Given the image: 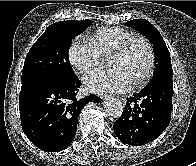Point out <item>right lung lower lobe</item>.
<instances>
[{"label": "right lung lower lobe", "instance_id": "1", "mask_svg": "<svg viewBox=\"0 0 196 166\" xmlns=\"http://www.w3.org/2000/svg\"><path fill=\"white\" fill-rule=\"evenodd\" d=\"M80 86L78 78L70 82L46 77L22 81L19 96L22 129L36 147L57 152L72 143L82 108L88 102H101L93 94L77 99Z\"/></svg>", "mask_w": 196, "mask_h": 166}]
</instances>
